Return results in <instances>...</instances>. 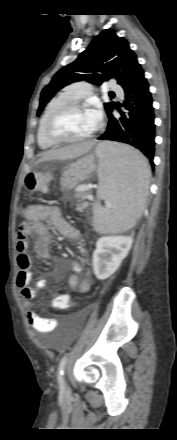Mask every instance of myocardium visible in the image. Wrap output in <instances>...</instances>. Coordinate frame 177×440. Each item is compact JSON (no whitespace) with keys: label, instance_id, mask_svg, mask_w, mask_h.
Here are the masks:
<instances>
[{"label":"myocardium","instance_id":"1","mask_svg":"<svg viewBox=\"0 0 177 440\" xmlns=\"http://www.w3.org/2000/svg\"><path fill=\"white\" fill-rule=\"evenodd\" d=\"M87 107L85 104L83 103H79V102H70L67 103L63 106H61L60 108H58L56 111H54L51 116L48 118L46 125H45V135L46 137L52 141L53 143L56 144H73V143H81V142H85L88 141L89 139L92 138L94 130L88 134L85 137L82 138H77V139H70V138H66L62 135H60L57 131H56V127L58 125V123L60 122V120L69 112L71 111H75V110H86Z\"/></svg>","mask_w":177,"mask_h":440}]
</instances>
